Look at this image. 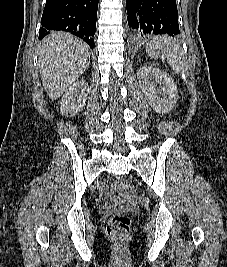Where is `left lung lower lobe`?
<instances>
[{
	"instance_id": "1",
	"label": "left lung lower lobe",
	"mask_w": 227,
	"mask_h": 267,
	"mask_svg": "<svg viewBox=\"0 0 227 267\" xmlns=\"http://www.w3.org/2000/svg\"><path fill=\"white\" fill-rule=\"evenodd\" d=\"M126 7L133 38L180 34L176 0H126Z\"/></svg>"
}]
</instances>
